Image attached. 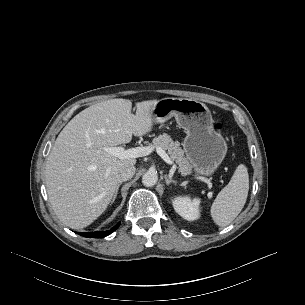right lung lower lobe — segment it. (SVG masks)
<instances>
[{"instance_id": "1", "label": "right lung lower lobe", "mask_w": 305, "mask_h": 305, "mask_svg": "<svg viewBox=\"0 0 305 305\" xmlns=\"http://www.w3.org/2000/svg\"><path fill=\"white\" fill-rule=\"evenodd\" d=\"M120 225V222L117 223L114 227H112L110 230L104 231V232H84V233H80L81 236L84 237H89V238H103L105 236H108L109 234H111L112 232H114Z\"/></svg>"}]
</instances>
